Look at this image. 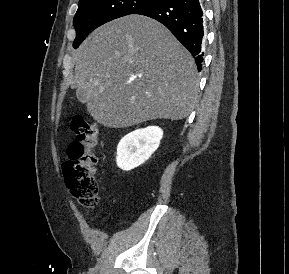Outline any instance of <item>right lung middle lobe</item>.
I'll return each instance as SVG.
<instances>
[{
    "label": "right lung middle lobe",
    "mask_w": 289,
    "mask_h": 274,
    "mask_svg": "<svg viewBox=\"0 0 289 274\" xmlns=\"http://www.w3.org/2000/svg\"><path fill=\"white\" fill-rule=\"evenodd\" d=\"M157 0H80L73 24L76 29L74 48L97 27L116 18L134 14Z\"/></svg>",
    "instance_id": "dd1d6c3e"
}]
</instances>
